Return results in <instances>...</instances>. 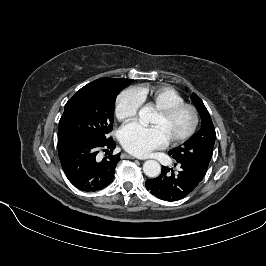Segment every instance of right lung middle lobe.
Here are the masks:
<instances>
[{"mask_svg": "<svg viewBox=\"0 0 266 266\" xmlns=\"http://www.w3.org/2000/svg\"><path fill=\"white\" fill-rule=\"evenodd\" d=\"M132 81L101 78L78 90L65 105L59 121L58 140L76 137L98 141L108 139L113 127L116 97Z\"/></svg>", "mask_w": 266, "mask_h": 266, "instance_id": "1", "label": "right lung middle lobe"}]
</instances>
